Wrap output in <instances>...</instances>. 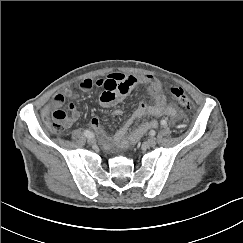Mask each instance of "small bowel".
Wrapping results in <instances>:
<instances>
[{
    "mask_svg": "<svg viewBox=\"0 0 243 243\" xmlns=\"http://www.w3.org/2000/svg\"><path fill=\"white\" fill-rule=\"evenodd\" d=\"M131 82V84H130ZM136 85H144L147 87V92L152 100L151 105H147L144 101L134 110L131 116L126 120L123 126L115 133L113 142L120 146H126L138 140L147 130L157 126L156 121H147L139 125L136 129L130 132V128L134 122L140 118L152 116L166 115L173 119L179 117L178 110L167 104L166 97L162 93L160 82L152 75H124L121 73H111L105 78H98L96 80L85 78L79 81L78 87L81 91H90L93 87L103 89L99 101L103 107H110L121 102L131 89ZM74 96L71 89H66L62 93L56 94L51 102L44 107L43 115L59 110L63 105L65 98H72ZM68 126L79 119V111L74 103L68 106ZM113 114L115 116L122 115L121 109H115ZM91 128L99 135L103 144L106 147L111 146V140L104 133L100 119L97 114L92 115L90 120Z\"/></svg>",
    "mask_w": 243,
    "mask_h": 243,
    "instance_id": "small-bowel-1",
    "label": "small bowel"
}]
</instances>
